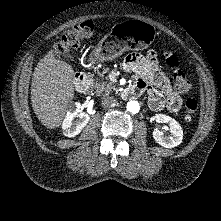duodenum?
<instances>
[{"label":"duodenum","instance_id":"410a0bca","mask_svg":"<svg viewBox=\"0 0 221 221\" xmlns=\"http://www.w3.org/2000/svg\"><path fill=\"white\" fill-rule=\"evenodd\" d=\"M73 81L76 89L82 93H85L90 88V82L85 73L77 72L73 76ZM141 93L139 92L136 85H131L125 90L126 97H138Z\"/></svg>","mask_w":221,"mask_h":221}]
</instances>
